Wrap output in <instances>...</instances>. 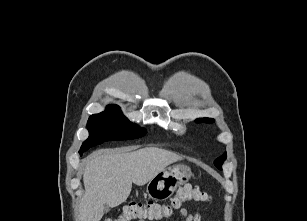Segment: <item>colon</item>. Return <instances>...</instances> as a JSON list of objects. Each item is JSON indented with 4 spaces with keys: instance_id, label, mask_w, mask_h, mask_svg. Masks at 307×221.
<instances>
[{
    "instance_id": "obj_1",
    "label": "colon",
    "mask_w": 307,
    "mask_h": 221,
    "mask_svg": "<svg viewBox=\"0 0 307 221\" xmlns=\"http://www.w3.org/2000/svg\"><path fill=\"white\" fill-rule=\"evenodd\" d=\"M210 195L197 186L189 184L179 187L168 202L144 201L126 204L116 217L104 221H161L170 217L186 203L208 202Z\"/></svg>"
}]
</instances>
